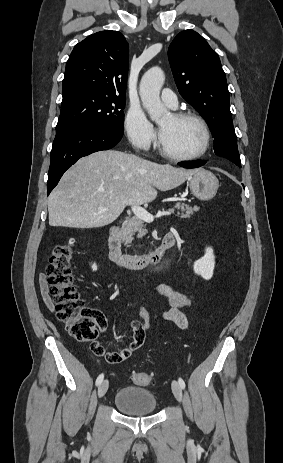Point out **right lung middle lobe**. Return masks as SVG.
Wrapping results in <instances>:
<instances>
[{"instance_id": "obj_1", "label": "right lung middle lobe", "mask_w": 283, "mask_h": 463, "mask_svg": "<svg viewBox=\"0 0 283 463\" xmlns=\"http://www.w3.org/2000/svg\"><path fill=\"white\" fill-rule=\"evenodd\" d=\"M125 97L82 94L61 104L56 133L83 126L124 132Z\"/></svg>"}]
</instances>
